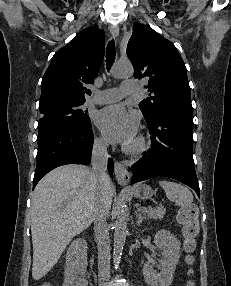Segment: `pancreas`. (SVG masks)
<instances>
[{"mask_svg": "<svg viewBox=\"0 0 231 286\" xmlns=\"http://www.w3.org/2000/svg\"><path fill=\"white\" fill-rule=\"evenodd\" d=\"M166 213V209L164 207H159L154 209L153 211L147 212V216L153 219L161 220Z\"/></svg>", "mask_w": 231, "mask_h": 286, "instance_id": "cf45deb5", "label": "pancreas"}]
</instances>
